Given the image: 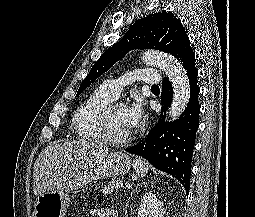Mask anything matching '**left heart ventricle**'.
Returning a JSON list of instances; mask_svg holds the SVG:
<instances>
[{
    "mask_svg": "<svg viewBox=\"0 0 255 217\" xmlns=\"http://www.w3.org/2000/svg\"><path fill=\"white\" fill-rule=\"evenodd\" d=\"M110 127L115 136L125 137L132 133L126 115L125 106H117L110 115Z\"/></svg>",
    "mask_w": 255,
    "mask_h": 217,
    "instance_id": "1",
    "label": "left heart ventricle"
}]
</instances>
